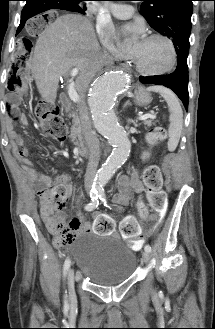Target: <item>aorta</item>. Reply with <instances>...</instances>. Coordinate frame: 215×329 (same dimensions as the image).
Instances as JSON below:
<instances>
[{"label": "aorta", "instance_id": "1", "mask_svg": "<svg viewBox=\"0 0 215 329\" xmlns=\"http://www.w3.org/2000/svg\"><path fill=\"white\" fill-rule=\"evenodd\" d=\"M128 85L127 74L118 70H108L94 81L89 90L88 104L94 127L113 147L111 155L95 176L96 187L107 184L115 171L125 163L130 153V140L114 112L119 93Z\"/></svg>", "mask_w": 215, "mask_h": 329}]
</instances>
